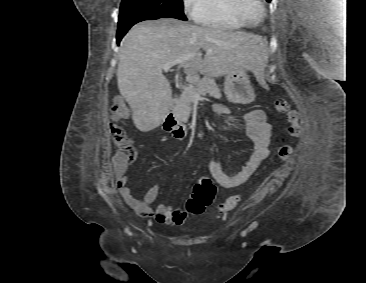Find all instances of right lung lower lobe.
Instances as JSON below:
<instances>
[{
	"mask_svg": "<svg viewBox=\"0 0 366 283\" xmlns=\"http://www.w3.org/2000/svg\"><path fill=\"white\" fill-rule=\"evenodd\" d=\"M159 19V17H150V18H131L125 19L118 22V30H117V43H120L122 37L126 34V32L136 23L144 20H154Z\"/></svg>",
	"mask_w": 366,
	"mask_h": 283,
	"instance_id": "98d812e1",
	"label": "right lung lower lobe"
}]
</instances>
